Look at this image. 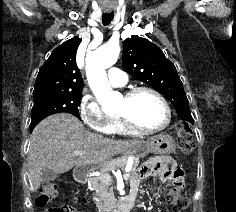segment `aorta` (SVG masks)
Segmentation results:
<instances>
[{"label":"aorta","instance_id":"obj_1","mask_svg":"<svg viewBox=\"0 0 236 212\" xmlns=\"http://www.w3.org/2000/svg\"><path fill=\"white\" fill-rule=\"evenodd\" d=\"M120 47L116 43H107L86 56V76L89 86L103 108L115 104L119 93L109 86L105 69L118 59Z\"/></svg>","mask_w":236,"mask_h":212}]
</instances>
